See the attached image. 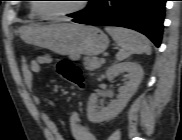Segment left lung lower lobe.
<instances>
[{
	"instance_id": "0a47b994",
	"label": "left lung lower lobe",
	"mask_w": 182,
	"mask_h": 140,
	"mask_svg": "<svg viewBox=\"0 0 182 140\" xmlns=\"http://www.w3.org/2000/svg\"><path fill=\"white\" fill-rule=\"evenodd\" d=\"M166 0H99L74 22L95 26H120L146 35L161 44Z\"/></svg>"
}]
</instances>
